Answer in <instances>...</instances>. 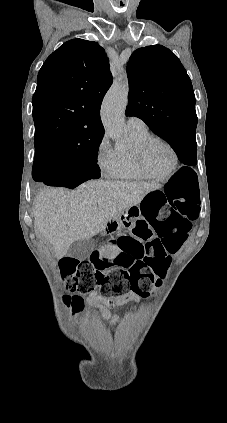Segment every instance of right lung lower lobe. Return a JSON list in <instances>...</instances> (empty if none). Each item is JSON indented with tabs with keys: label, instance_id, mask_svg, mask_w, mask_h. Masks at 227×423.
<instances>
[{
	"label": "right lung lower lobe",
	"instance_id": "right-lung-lower-lobe-1",
	"mask_svg": "<svg viewBox=\"0 0 227 423\" xmlns=\"http://www.w3.org/2000/svg\"><path fill=\"white\" fill-rule=\"evenodd\" d=\"M33 179L47 186H60L75 188L81 183L89 180L82 178L76 173L62 170L57 162L53 160H38L33 164Z\"/></svg>",
	"mask_w": 227,
	"mask_h": 423
}]
</instances>
